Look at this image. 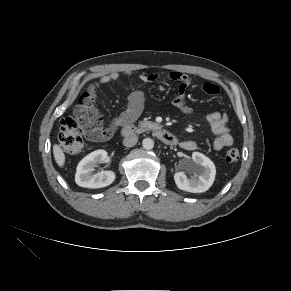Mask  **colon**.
Listing matches in <instances>:
<instances>
[{
  "mask_svg": "<svg viewBox=\"0 0 291 291\" xmlns=\"http://www.w3.org/2000/svg\"><path fill=\"white\" fill-rule=\"evenodd\" d=\"M95 94L87 92L80 97L79 106L72 115L64 118L60 125L59 142L62 149L70 154L79 153L84 146L83 135H88L93 128L91 111L94 107ZM115 124L109 125L113 134ZM240 154L236 148H230L225 153V160L234 163L239 160Z\"/></svg>",
  "mask_w": 291,
  "mask_h": 291,
  "instance_id": "obj_1",
  "label": "colon"
}]
</instances>
